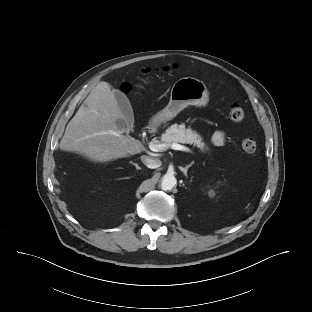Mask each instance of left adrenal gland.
Listing matches in <instances>:
<instances>
[{
    "instance_id": "a2214340",
    "label": "left adrenal gland",
    "mask_w": 312,
    "mask_h": 312,
    "mask_svg": "<svg viewBox=\"0 0 312 312\" xmlns=\"http://www.w3.org/2000/svg\"><path fill=\"white\" fill-rule=\"evenodd\" d=\"M193 165V162H191L189 165H187L185 168H183V167H179L180 168V170L184 173V175L187 177L188 175H187V171H188V169L191 167Z\"/></svg>"
}]
</instances>
